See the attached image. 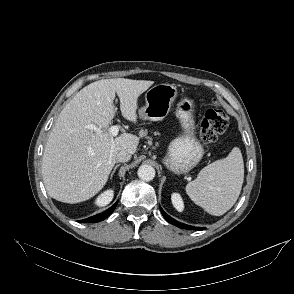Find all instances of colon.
Segmentation results:
<instances>
[{
	"instance_id": "5ec220e1",
	"label": "colon",
	"mask_w": 294,
	"mask_h": 294,
	"mask_svg": "<svg viewBox=\"0 0 294 294\" xmlns=\"http://www.w3.org/2000/svg\"><path fill=\"white\" fill-rule=\"evenodd\" d=\"M228 117L217 102L206 111L199 129V139L202 144L215 142L228 128Z\"/></svg>"
}]
</instances>
